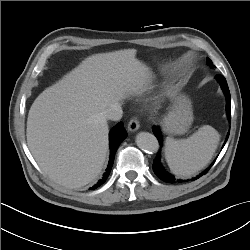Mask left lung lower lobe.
I'll list each match as a JSON object with an SVG mask.
<instances>
[{"label": "left lung lower lobe", "mask_w": 250, "mask_h": 250, "mask_svg": "<svg viewBox=\"0 0 250 250\" xmlns=\"http://www.w3.org/2000/svg\"><path fill=\"white\" fill-rule=\"evenodd\" d=\"M216 79L220 83V85L222 87V90H223V92H224V94L226 96V110H227L228 120L230 121L231 120V109H230V106H231L230 101L231 100H230L229 88H228L226 79L222 75H217ZM153 133L157 137L159 143L162 144V135H161V132H160L159 128L153 127ZM228 137H229V133H228V135L226 137L224 145H225L226 141L228 140ZM210 167L207 168L204 172H202L200 175H198L196 178H194L192 180L198 179L203 174L207 173L208 170L210 169ZM153 170H154V173L157 175V177H159L161 180H163L165 182H168V183H175L176 182L175 177L173 175L169 174L168 172H166L164 170V168L162 167L161 162H160V152H158V154H157V156H156V158H155V160L153 162ZM185 181L186 180H178V182H185Z\"/></svg>", "instance_id": "0a47b994"}]
</instances>
